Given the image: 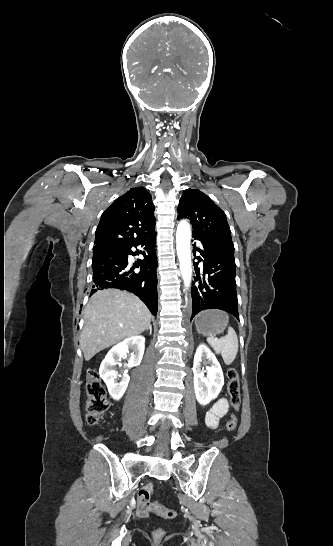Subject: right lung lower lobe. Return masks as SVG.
<instances>
[{
    "instance_id": "obj_1",
    "label": "right lung lower lobe",
    "mask_w": 333,
    "mask_h": 546,
    "mask_svg": "<svg viewBox=\"0 0 333 546\" xmlns=\"http://www.w3.org/2000/svg\"><path fill=\"white\" fill-rule=\"evenodd\" d=\"M143 248L144 259L128 261L129 255L139 254L132 247ZM155 231L134 239H111L93 247V289L117 288L138 296L153 315L157 313V258ZM140 267V270L135 269Z\"/></svg>"
}]
</instances>
